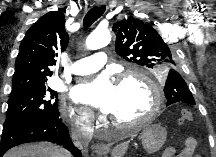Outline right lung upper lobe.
Segmentation results:
<instances>
[{
    "label": "right lung upper lobe",
    "mask_w": 216,
    "mask_h": 157,
    "mask_svg": "<svg viewBox=\"0 0 216 157\" xmlns=\"http://www.w3.org/2000/svg\"><path fill=\"white\" fill-rule=\"evenodd\" d=\"M64 24L65 16L59 9L43 15L29 28L19 47L11 94L45 86L47 76L52 75L49 67L68 45Z\"/></svg>",
    "instance_id": "cb5924a9"
}]
</instances>
